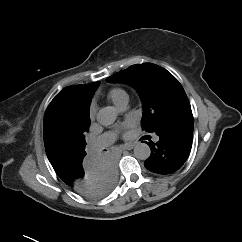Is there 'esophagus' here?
Instances as JSON below:
<instances>
[{
  "mask_svg": "<svg viewBox=\"0 0 242 242\" xmlns=\"http://www.w3.org/2000/svg\"><path fill=\"white\" fill-rule=\"evenodd\" d=\"M135 146L134 143H126L122 146L123 150H131Z\"/></svg>",
  "mask_w": 242,
  "mask_h": 242,
  "instance_id": "obj_1",
  "label": "esophagus"
}]
</instances>
